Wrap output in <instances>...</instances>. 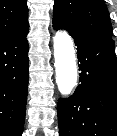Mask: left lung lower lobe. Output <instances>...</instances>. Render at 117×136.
<instances>
[{"label": "left lung lower lobe", "instance_id": "left-lung-lower-lobe-1", "mask_svg": "<svg viewBox=\"0 0 117 136\" xmlns=\"http://www.w3.org/2000/svg\"><path fill=\"white\" fill-rule=\"evenodd\" d=\"M53 28L69 31L78 51L80 84L57 105L59 136H117V60L111 37L74 29L53 19Z\"/></svg>", "mask_w": 117, "mask_h": 136}]
</instances>
